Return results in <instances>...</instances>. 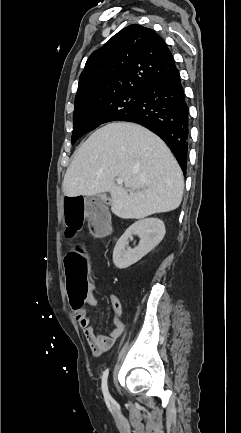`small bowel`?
<instances>
[{"label": "small bowel", "instance_id": "c3829d8e", "mask_svg": "<svg viewBox=\"0 0 241 433\" xmlns=\"http://www.w3.org/2000/svg\"><path fill=\"white\" fill-rule=\"evenodd\" d=\"M93 262L95 258H92ZM111 308L113 311V329L109 335H100L95 332L87 311L83 308L82 312H74L79 326L82 328L85 339L90 346L92 352L96 356H100L105 351L109 350L113 343L123 334L125 326L121 320L123 308L118 296L114 293L109 295ZM90 306H97L98 301L91 292V296L86 301Z\"/></svg>", "mask_w": 241, "mask_h": 433}]
</instances>
